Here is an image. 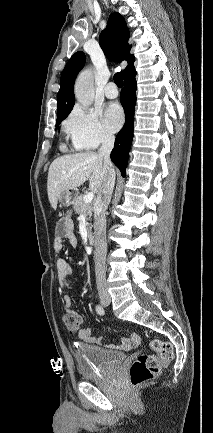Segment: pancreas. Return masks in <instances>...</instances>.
I'll use <instances>...</instances> for the list:
<instances>
[{
  "label": "pancreas",
  "mask_w": 213,
  "mask_h": 433,
  "mask_svg": "<svg viewBox=\"0 0 213 433\" xmlns=\"http://www.w3.org/2000/svg\"><path fill=\"white\" fill-rule=\"evenodd\" d=\"M73 208H74L76 214H78V215L83 214L87 221H89L91 219L92 210H93L92 204L91 203H85L84 202V196L82 194L75 196ZM88 234L91 236V228L90 227L88 228Z\"/></svg>",
  "instance_id": "cf45deb5"
}]
</instances>
